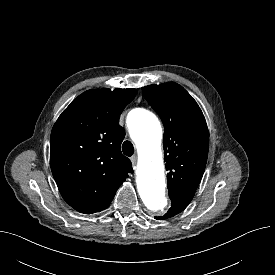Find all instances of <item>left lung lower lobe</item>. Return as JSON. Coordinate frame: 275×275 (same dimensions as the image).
<instances>
[{"mask_svg": "<svg viewBox=\"0 0 275 275\" xmlns=\"http://www.w3.org/2000/svg\"><path fill=\"white\" fill-rule=\"evenodd\" d=\"M169 196L171 199V208L164 216L155 217L156 219H166L180 213L189 205L193 198L191 194H171Z\"/></svg>", "mask_w": 275, "mask_h": 275, "instance_id": "left-lung-lower-lobe-1", "label": "left lung lower lobe"}]
</instances>
